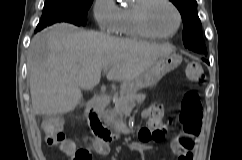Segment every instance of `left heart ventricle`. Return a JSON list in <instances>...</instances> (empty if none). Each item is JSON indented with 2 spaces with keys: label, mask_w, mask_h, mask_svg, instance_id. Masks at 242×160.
<instances>
[{
  "label": "left heart ventricle",
  "mask_w": 242,
  "mask_h": 160,
  "mask_svg": "<svg viewBox=\"0 0 242 160\" xmlns=\"http://www.w3.org/2000/svg\"><path fill=\"white\" fill-rule=\"evenodd\" d=\"M146 22L153 32L169 34L176 28L177 16L167 3L156 0L150 4L146 11Z\"/></svg>",
  "instance_id": "left-heart-ventricle-1"
}]
</instances>
